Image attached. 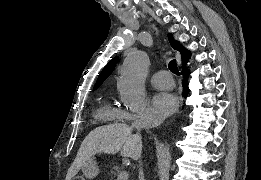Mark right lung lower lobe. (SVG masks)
<instances>
[{
    "label": "right lung lower lobe",
    "instance_id": "98d812e1",
    "mask_svg": "<svg viewBox=\"0 0 261 180\" xmlns=\"http://www.w3.org/2000/svg\"><path fill=\"white\" fill-rule=\"evenodd\" d=\"M182 74L184 75V80L182 81L183 96H184V98H186L188 91H189L188 83H187V77H188L189 72L186 71V68H183Z\"/></svg>",
    "mask_w": 261,
    "mask_h": 180
}]
</instances>
